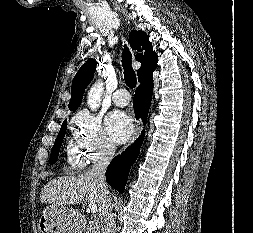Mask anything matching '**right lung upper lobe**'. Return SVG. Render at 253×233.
I'll use <instances>...</instances> for the list:
<instances>
[{"label": "right lung upper lobe", "mask_w": 253, "mask_h": 233, "mask_svg": "<svg viewBox=\"0 0 253 233\" xmlns=\"http://www.w3.org/2000/svg\"><path fill=\"white\" fill-rule=\"evenodd\" d=\"M129 43L133 50L140 51L135 56L136 60L141 62V67L137 71L138 79H140L144 74L156 68L158 57L153 51L147 34L142 31L133 30L129 34ZM96 64L94 59H88L76 73L72 83V96L68 105L71 111H75L80 106L84 90L94 76Z\"/></svg>", "instance_id": "right-lung-upper-lobe-1"}]
</instances>
